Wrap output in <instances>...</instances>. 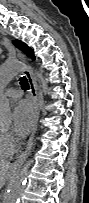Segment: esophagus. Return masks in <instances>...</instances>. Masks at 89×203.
<instances>
[{
    "label": "esophagus",
    "instance_id": "esophagus-1",
    "mask_svg": "<svg viewBox=\"0 0 89 203\" xmlns=\"http://www.w3.org/2000/svg\"><path fill=\"white\" fill-rule=\"evenodd\" d=\"M18 57L19 59L25 61L26 58L22 53H18ZM24 76L27 78L29 84H30V88H31V98L35 107V121H34V126H33V130H32V134L27 142V146L25 151L17 158V160L14 162V164L12 165V167L15 170L20 169V167L22 166V164L24 163V161L26 160L27 156L30 153L32 144H33V138L34 135L36 133L37 130V122H38V118H39V104H38V89H37V85L35 82V79L33 77V74L28 70L25 69L23 71Z\"/></svg>",
    "mask_w": 89,
    "mask_h": 203
}]
</instances>
